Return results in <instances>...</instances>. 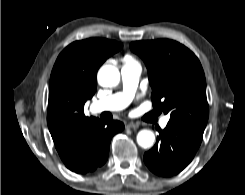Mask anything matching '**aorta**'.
<instances>
[{
	"label": "aorta",
	"instance_id": "762f6f07",
	"mask_svg": "<svg viewBox=\"0 0 245 195\" xmlns=\"http://www.w3.org/2000/svg\"><path fill=\"white\" fill-rule=\"evenodd\" d=\"M120 72L111 65L103 66L98 72V82L103 87H114L119 84ZM155 141V135L151 130H141L137 134V143L142 148H150Z\"/></svg>",
	"mask_w": 245,
	"mask_h": 195
}]
</instances>
